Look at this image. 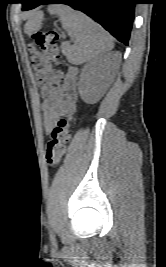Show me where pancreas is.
I'll list each match as a JSON object with an SVG mask.
<instances>
[{
  "label": "pancreas",
  "instance_id": "1",
  "mask_svg": "<svg viewBox=\"0 0 166 267\" xmlns=\"http://www.w3.org/2000/svg\"><path fill=\"white\" fill-rule=\"evenodd\" d=\"M68 48V45L66 44V43H64L63 45H62V50H63V52H65V50Z\"/></svg>",
  "mask_w": 166,
  "mask_h": 267
}]
</instances>
